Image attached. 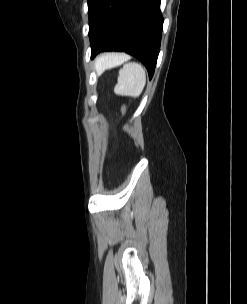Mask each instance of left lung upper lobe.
<instances>
[{
  "label": "left lung upper lobe",
  "mask_w": 247,
  "mask_h": 304,
  "mask_svg": "<svg viewBox=\"0 0 247 304\" xmlns=\"http://www.w3.org/2000/svg\"><path fill=\"white\" fill-rule=\"evenodd\" d=\"M102 0H88L89 21L95 15Z\"/></svg>",
  "instance_id": "1"
}]
</instances>
